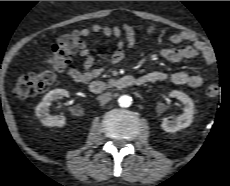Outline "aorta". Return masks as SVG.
Here are the masks:
<instances>
[{"label":"aorta","instance_id":"obj_1","mask_svg":"<svg viewBox=\"0 0 230 186\" xmlns=\"http://www.w3.org/2000/svg\"><path fill=\"white\" fill-rule=\"evenodd\" d=\"M118 103L121 107H129L132 104V98L128 95H122L119 97Z\"/></svg>","mask_w":230,"mask_h":186}]
</instances>
